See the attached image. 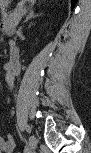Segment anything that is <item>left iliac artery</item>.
I'll list each match as a JSON object with an SVG mask.
<instances>
[{
  "label": "left iliac artery",
  "mask_w": 91,
  "mask_h": 153,
  "mask_svg": "<svg viewBox=\"0 0 91 153\" xmlns=\"http://www.w3.org/2000/svg\"><path fill=\"white\" fill-rule=\"evenodd\" d=\"M22 143H25V149H30V143H29V140H27V137H24V140H22ZM23 153H28V151H23Z\"/></svg>",
  "instance_id": "left-iliac-artery-1"
}]
</instances>
